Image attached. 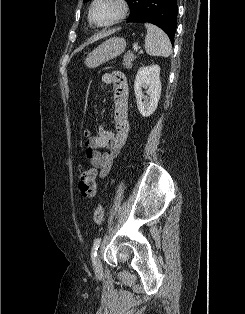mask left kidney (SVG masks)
Instances as JSON below:
<instances>
[{"label":"left kidney","mask_w":245,"mask_h":314,"mask_svg":"<svg viewBox=\"0 0 245 314\" xmlns=\"http://www.w3.org/2000/svg\"><path fill=\"white\" fill-rule=\"evenodd\" d=\"M142 88L146 89L147 96L143 95ZM161 90L160 67L158 65L141 67L134 81V92L138 110L143 117H149L154 113Z\"/></svg>","instance_id":"1"}]
</instances>
